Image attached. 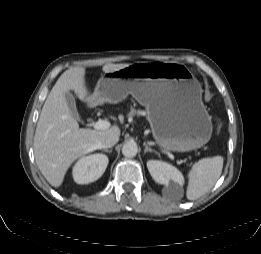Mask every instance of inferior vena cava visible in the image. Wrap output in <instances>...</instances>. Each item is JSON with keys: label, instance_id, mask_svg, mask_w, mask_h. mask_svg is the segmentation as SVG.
I'll use <instances>...</instances> for the list:
<instances>
[{"label": "inferior vena cava", "instance_id": "602c4592", "mask_svg": "<svg viewBox=\"0 0 261 254\" xmlns=\"http://www.w3.org/2000/svg\"><path fill=\"white\" fill-rule=\"evenodd\" d=\"M119 141V136L116 134H110L104 136L100 141L98 146L100 148H110L114 146Z\"/></svg>", "mask_w": 261, "mask_h": 254}]
</instances>
